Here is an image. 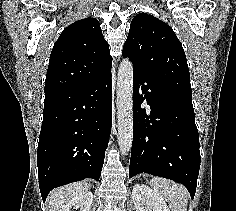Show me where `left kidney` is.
I'll list each match as a JSON object with an SVG mask.
<instances>
[{
	"mask_svg": "<svg viewBox=\"0 0 236 211\" xmlns=\"http://www.w3.org/2000/svg\"><path fill=\"white\" fill-rule=\"evenodd\" d=\"M132 198L136 211H147V206H151L153 211H170L166 202L144 184L133 186Z\"/></svg>",
	"mask_w": 236,
	"mask_h": 211,
	"instance_id": "left-kidney-1",
	"label": "left kidney"
}]
</instances>
